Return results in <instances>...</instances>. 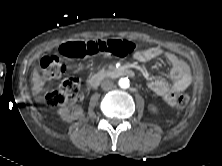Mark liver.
<instances>
[{
    "label": "liver",
    "instance_id": "obj_1",
    "mask_svg": "<svg viewBox=\"0 0 222 166\" xmlns=\"http://www.w3.org/2000/svg\"><path fill=\"white\" fill-rule=\"evenodd\" d=\"M32 82H33V90L35 92H40L45 85V82L43 81L42 77L40 76L36 68L33 71Z\"/></svg>",
    "mask_w": 222,
    "mask_h": 166
}]
</instances>
